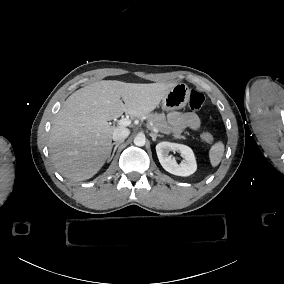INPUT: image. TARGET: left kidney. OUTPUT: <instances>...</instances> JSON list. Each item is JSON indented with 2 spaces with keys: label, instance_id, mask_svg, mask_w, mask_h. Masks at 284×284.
I'll return each instance as SVG.
<instances>
[{
  "label": "left kidney",
  "instance_id": "obj_1",
  "mask_svg": "<svg viewBox=\"0 0 284 284\" xmlns=\"http://www.w3.org/2000/svg\"><path fill=\"white\" fill-rule=\"evenodd\" d=\"M170 151H179L184 160L178 164L169 156ZM156 152L162 167L177 176H189L197 169L196 159L192 149L183 144L160 142L156 145Z\"/></svg>",
  "mask_w": 284,
  "mask_h": 284
}]
</instances>
